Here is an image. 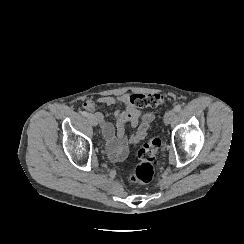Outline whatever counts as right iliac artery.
<instances>
[{
  "mask_svg": "<svg viewBox=\"0 0 244 244\" xmlns=\"http://www.w3.org/2000/svg\"><path fill=\"white\" fill-rule=\"evenodd\" d=\"M81 114H82V116H84V117H87V116H88V113H87L86 111H82Z\"/></svg>",
  "mask_w": 244,
  "mask_h": 244,
  "instance_id": "1",
  "label": "right iliac artery"
}]
</instances>
